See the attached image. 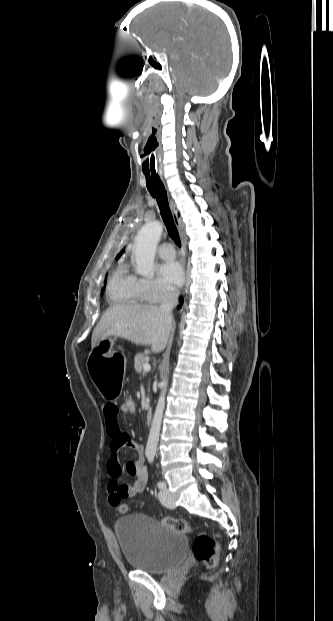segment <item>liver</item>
<instances>
[{"mask_svg": "<svg viewBox=\"0 0 333 621\" xmlns=\"http://www.w3.org/2000/svg\"><path fill=\"white\" fill-rule=\"evenodd\" d=\"M172 329V321L158 306H113L95 327L91 346L94 348L103 338L114 336L137 345H151L153 352L160 353L165 349Z\"/></svg>", "mask_w": 333, "mask_h": 621, "instance_id": "6515ba94", "label": "liver"}]
</instances>
